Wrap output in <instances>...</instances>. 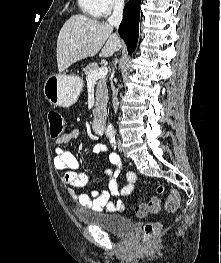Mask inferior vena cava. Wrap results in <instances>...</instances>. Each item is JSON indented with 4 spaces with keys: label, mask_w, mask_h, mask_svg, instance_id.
<instances>
[{
    "label": "inferior vena cava",
    "mask_w": 221,
    "mask_h": 263,
    "mask_svg": "<svg viewBox=\"0 0 221 263\" xmlns=\"http://www.w3.org/2000/svg\"><path fill=\"white\" fill-rule=\"evenodd\" d=\"M124 7V0H115L114 9L112 15L108 18V24L111 27L118 28L122 21V12ZM113 106L115 113L117 112L118 106V98H117V90L113 89Z\"/></svg>",
    "instance_id": "1"
}]
</instances>
